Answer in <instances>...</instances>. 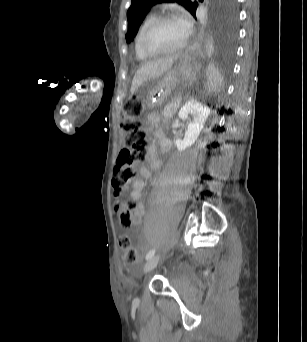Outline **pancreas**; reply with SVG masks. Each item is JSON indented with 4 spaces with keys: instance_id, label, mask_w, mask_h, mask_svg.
Wrapping results in <instances>:
<instances>
[{
    "instance_id": "1",
    "label": "pancreas",
    "mask_w": 307,
    "mask_h": 342,
    "mask_svg": "<svg viewBox=\"0 0 307 342\" xmlns=\"http://www.w3.org/2000/svg\"><path fill=\"white\" fill-rule=\"evenodd\" d=\"M171 103L172 104H179L180 103V98L179 97H172L171 98ZM173 108H172V106H165L163 115L166 116V117H173L174 116Z\"/></svg>"
}]
</instances>
